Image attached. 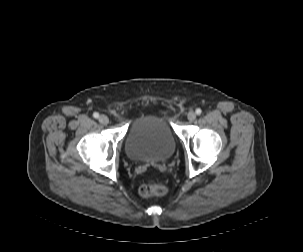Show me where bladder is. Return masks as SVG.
Instances as JSON below:
<instances>
[{"mask_svg": "<svg viewBox=\"0 0 303 252\" xmlns=\"http://www.w3.org/2000/svg\"><path fill=\"white\" fill-rule=\"evenodd\" d=\"M124 149L130 160L163 162L174 155L176 140L162 117L148 114L131 124L125 136Z\"/></svg>", "mask_w": 303, "mask_h": 252, "instance_id": "bladder-1", "label": "bladder"}]
</instances>
